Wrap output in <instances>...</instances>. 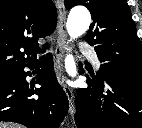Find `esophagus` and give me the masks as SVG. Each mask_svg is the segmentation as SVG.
Wrapping results in <instances>:
<instances>
[{
    "label": "esophagus",
    "instance_id": "obj_1",
    "mask_svg": "<svg viewBox=\"0 0 142 128\" xmlns=\"http://www.w3.org/2000/svg\"><path fill=\"white\" fill-rule=\"evenodd\" d=\"M56 6L59 13V37L55 45V60H56V72L59 79L63 77V54L65 49L66 34V10L64 6V0H56ZM62 87L66 93L69 102V114L74 115L75 104H74V93L73 90L62 82Z\"/></svg>",
    "mask_w": 142,
    "mask_h": 128
}]
</instances>
